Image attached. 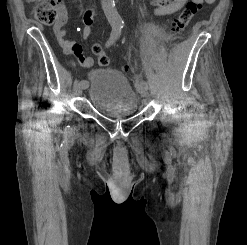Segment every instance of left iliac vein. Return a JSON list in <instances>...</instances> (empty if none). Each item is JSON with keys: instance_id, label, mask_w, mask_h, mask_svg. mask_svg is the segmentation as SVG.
Here are the masks:
<instances>
[{"instance_id": "1", "label": "left iliac vein", "mask_w": 247, "mask_h": 245, "mask_svg": "<svg viewBox=\"0 0 247 245\" xmlns=\"http://www.w3.org/2000/svg\"><path fill=\"white\" fill-rule=\"evenodd\" d=\"M137 88H138V91L140 92V94L143 96V97H147L148 96V88H147V85H144V84H138L137 85Z\"/></svg>"}]
</instances>
